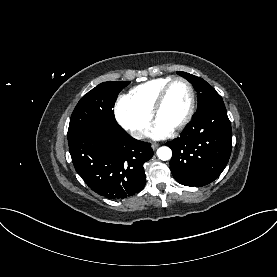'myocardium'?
<instances>
[{
	"label": "myocardium",
	"instance_id": "f54148a6",
	"mask_svg": "<svg viewBox=\"0 0 277 277\" xmlns=\"http://www.w3.org/2000/svg\"><path fill=\"white\" fill-rule=\"evenodd\" d=\"M177 82H182L184 83L190 93V105H189V109L188 112L186 114V116L184 117V119L172 130L175 132L181 131L183 130L188 123L191 121L194 113H195V109H196V94H195V90L193 85L191 84L190 81H188L187 79L183 78V77H175L172 78L159 92L153 107L151 109V116L154 120H157L158 114L166 100L167 94L170 90V88L172 87L173 84L177 83Z\"/></svg>",
	"mask_w": 277,
	"mask_h": 277
}]
</instances>
